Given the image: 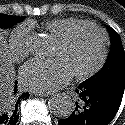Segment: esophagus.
Masks as SVG:
<instances>
[{
	"label": "esophagus",
	"mask_w": 125,
	"mask_h": 125,
	"mask_svg": "<svg viewBox=\"0 0 125 125\" xmlns=\"http://www.w3.org/2000/svg\"><path fill=\"white\" fill-rule=\"evenodd\" d=\"M51 93H36L35 92V95L37 96H41V97H47L48 95H50Z\"/></svg>",
	"instance_id": "34e87169"
}]
</instances>
